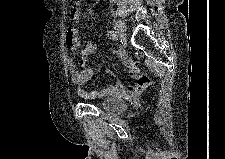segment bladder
<instances>
[{"instance_id":"1","label":"bladder","mask_w":225,"mask_h":159,"mask_svg":"<svg viewBox=\"0 0 225 159\" xmlns=\"http://www.w3.org/2000/svg\"><path fill=\"white\" fill-rule=\"evenodd\" d=\"M95 103L101 106L103 109L114 114L122 113L126 109L125 101L118 97L96 98Z\"/></svg>"}]
</instances>
